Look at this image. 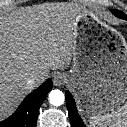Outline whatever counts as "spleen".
I'll return each mask as SVG.
<instances>
[{"label": "spleen", "instance_id": "spleen-1", "mask_svg": "<svg viewBox=\"0 0 127 127\" xmlns=\"http://www.w3.org/2000/svg\"><path fill=\"white\" fill-rule=\"evenodd\" d=\"M90 127H127V101L110 113H98L89 118Z\"/></svg>", "mask_w": 127, "mask_h": 127}]
</instances>
